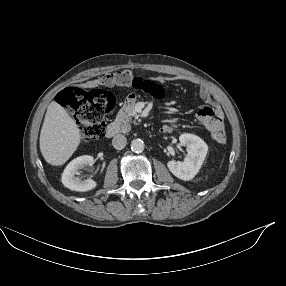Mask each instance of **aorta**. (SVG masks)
<instances>
[{"label":"aorta","instance_id":"obj_1","mask_svg":"<svg viewBox=\"0 0 286 286\" xmlns=\"http://www.w3.org/2000/svg\"><path fill=\"white\" fill-rule=\"evenodd\" d=\"M145 148V144L141 139H134L131 141L132 151L139 153L142 152Z\"/></svg>","mask_w":286,"mask_h":286}]
</instances>
